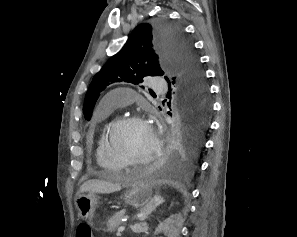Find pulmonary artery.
<instances>
[{
	"instance_id": "obj_1",
	"label": "pulmonary artery",
	"mask_w": 297,
	"mask_h": 237,
	"mask_svg": "<svg viewBox=\"0 0 297 237\" xmlns=\"http://www.w3.org/2000/svg\"><path fill=\"white\" fill-rule=\"evenodd\" d=\"M150 84L156 91H163L167 89V84L162 79L152 80ZM127 92L128 91H120L118 93L111 94L105 99L104 107L115 109L118 107L126 106L130 101V97H123L122 94H125Z\"/></svg>"
}]
</instances>
